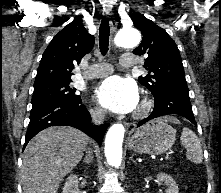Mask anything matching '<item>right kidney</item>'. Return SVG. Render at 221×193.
Listing matches in <instances>:
<instances>
[{
    "instance_id": "1",
    "label": "right kidney",
    "mask_w": 221,
    "mask_h": 193,
    "mask_svg": "<svg viewBox=\"0 0 221 193\" xmlns=\"http://www.w3.org/2000/svg\"><path fill=\"white\" fill-rule=\"evenodd\" d=\"M62 193H80L78 188V177L71 175L67 178Z\"/></svg>"
}]
</instances>
